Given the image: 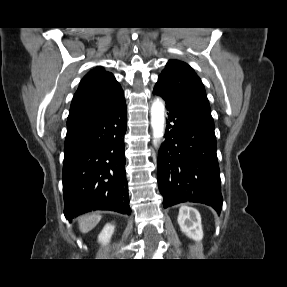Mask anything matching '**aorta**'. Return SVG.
I'll use <instances>...</instances> for the list:
<instances>
[{
	"instance_id": "aorta-1",
	"label": "aorta",
	"mask_w": 287,
	"mask_h": 287,
	"mask_svg": "<svg viewBox=\"0 0 287 287\" xmlns=\"http://www.w3.org/2000/svg\"><path fill=\"white\" fill-rule=\"evenodd\" d=\"M165 105L159 98L155 99L151 106V126L153 130V142L157 145L164 135Z\"/></svg>"
}]
</instances>
